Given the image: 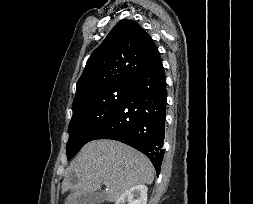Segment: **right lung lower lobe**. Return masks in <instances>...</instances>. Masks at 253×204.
Returning <instances> with one entry per match:
<instances>
[{
	"label": "right lung lower lobe",
	"mask_w": 253,
	"mask_h": 204,
	"mask_svg": "<svg viewBox=\"0 0 253 204\" xmlns=\"http://www.w3.org/2000/svg\"><path fill=\"white\" fill-rule=\"evenodd\" d=\"M166 77L158 54L130 89L95 139H113L141 151L159 175L164 150Z\"/></svg>",
	"instance_id": "right-lung-lower-lobe-1"
}]
</instances>
